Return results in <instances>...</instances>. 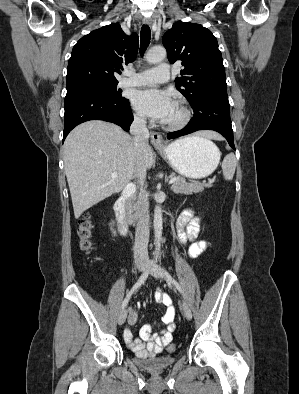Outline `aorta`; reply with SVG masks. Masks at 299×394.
I'll return each mask as SVG.
<instances>
[{
    "label": "aorta",
    "mask_w": 299,
    "mask_h": 394,
    "mask_svg": "<svg viewBox=\"0 0 299 394\" xmlns=\"http://www.w3.org/2000/svg\"><path fill=\"white\" fill-rule=\"evenodd\" d=\"M166 57V50L163 47H154L149 50L146 55V60L150 64H157L163 61ZM154 234H155V247L156 252L160 250L161 239H162V210L159 205H156L154 209Z\"/></svg>",
    "instance_id": "762f6f07"
}]
</instances>
